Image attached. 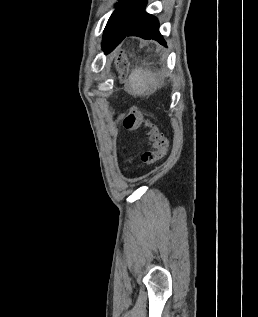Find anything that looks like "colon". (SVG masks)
<instances>
[{"mask_svg":"<svg viewBox=\"0 0 258 317\" xmlns=\"http://www.w3.org/2000/svg\"><path fill=\"white\" fill-rule=\"evenodd\" d=\"M123 126L127 130H146V136L152 148L142 155V161L145 165L154 164L166 155L168 148L166 138L141 112L136 109L129 110L124 116Z\"/></svg>","mask_w":258,"mask_h":317,"instance_id":"1","label":"colon"}]
</instances>
